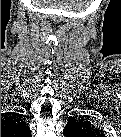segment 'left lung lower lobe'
<instances>
[{
  "instance_id": "left-lung-lower-lobe-1",
  "label": "left lung lower lobe",
  "mask_w": 121,
  "mask_h": 137,
  "mask_svg": "<svg viewBox=\"0 0 121 137\" xmlns=\"http://www.w3.org/2000/svg\"><path fill=\"white\" fill-rule=\"evenodd\" d=\"M65 135H68V134H71L70 132L68 131H64Z\"/></svg>"
}]
</instances>
